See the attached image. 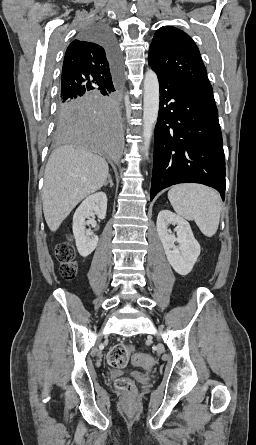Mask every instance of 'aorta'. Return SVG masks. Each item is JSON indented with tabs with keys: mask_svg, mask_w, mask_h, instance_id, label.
<instances>
[{
	"mask_svg": "<svg viewBox=\"0 0 256 445\" xmlns=\"http://www.w3.org/2000/svg\"><path fill=\"white\" fill-rule=\"evenodd\" d=\"M159 111V82L154 71L148 70L144 78L143 98V146L142 151L148 154L153 129L157 122Z\"/></svg>",
	"mask_w": 256,
	"mask_h": 445,
	"instance_id": "obj_1",
	"label": "aorta"
}]
</instances>
